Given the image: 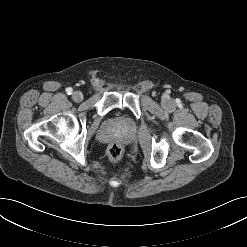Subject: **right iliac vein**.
Wrapping results in <instances>:
<instances>
[{
  "label": "right iliac vein",
  "instance_id": "obj_1",
  "mask_svg": "<svg viewBox=\"0 0 247 247\" xmlns=\"http://www.w3.org/2000/svg\"><path fill=\"white\" fill-rule=\"evenodd\" d=\"M72 99H73L75 102H80V101H82V99H83V94H82V92H80V91H75V92L72 94Z\"/></svg>",
  "mask_w": 247,
  "mask_h": 247
}]
</instances>
